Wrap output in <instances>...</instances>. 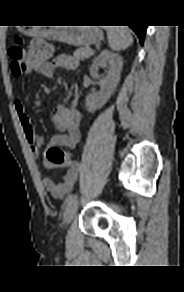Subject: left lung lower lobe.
<instances>
[{"instance_id": "1", "label": "left lung lower lobe", "mask_w": 184, "mask_h": 292, "mask_svg": "<svg viewBox=\"0 0 184 292\" xmlns=\"http://www.w3.org/2000/svg\"><path fill=\"white\" fill-rule=\"evenodd\" d=\"M129 27H131L134 30V32L139 37L140 43L143 44L144 35H145V31H146V27L147 26H144V25H132V26H129Z\"/></svg>"}]
</instances>
